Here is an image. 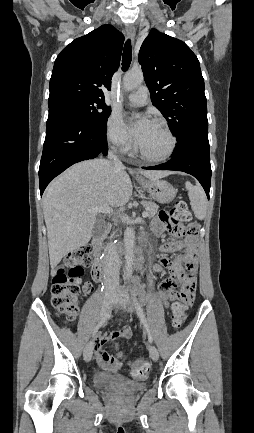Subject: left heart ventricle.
Masks as SVG:
<instances>
[{
  "instance_id": "left-heart-ventricle-1",
  "label": "left heart ventricle",
  "mask_w": 254,
  "mask_h": 433,
  "mask_svg": "<svg viewBox=\"0 0 254 433\" xmlns=\"http://www.w3.org/2000/svg\"><path fill=\"white\" fill-rule=\"evenodd\" d=\"M138 144L146 154L158 157L166 153L170 146V139L160 125L152 122Z\"/></svg>"
}]
</instances>
